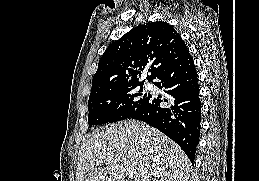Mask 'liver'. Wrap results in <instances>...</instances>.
Returning <instances> with one entry per match:
<instances>
[{
    "label": "liver",
    "mask_w": 259,
    "mask_h": 181,
    "mask_svg": "<svg viewBox=\"0 0 259 181\" xmlns=\"http://www.w3.org/2000/svg\"><path fill=\"white\" fill-rule=\"evenodd\" d=\"M188 181L190 161L183 150L159 130L135 120L96 130L78 154L76 181Z\"/></svg>",
    "instance_id": "obj_1"
}]
</instances>
